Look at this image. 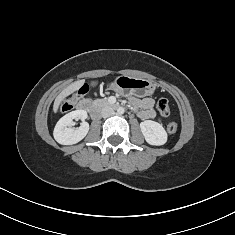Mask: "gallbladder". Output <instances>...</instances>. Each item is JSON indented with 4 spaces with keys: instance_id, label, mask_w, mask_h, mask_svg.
<instances>
[{
    "instance_id": "obj_1",
    "label": "gallbladder",
    "mask_w": 235,
    "mask_h": 235,
    "mask_svg": "<svg viewBox=\"0 0 235 235\" xmlns=\"http://www.w3.org/2000/svg\"><path fill=\"white\" fill-rule=\"evenodd\" d=\"M97 85V82L96 81H92L91 82V86H96Z\"/></svg>"
}]
</instances>
